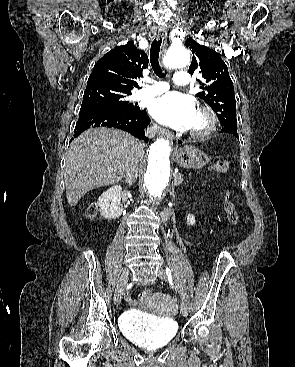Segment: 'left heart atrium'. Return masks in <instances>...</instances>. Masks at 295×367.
<instances>
[{"label": "left heart atrium", "mask_w": 295, "mask_h": 367, "mask_svg": "<svg viewBox=\"0 0 295 367\" xmlns=\"http://www.w3.org/2000/svg\"><path fill=\"white\" fill-rule=\"evenodd\" d=\"M149 113L163 125L187 130L197 112L191 97L179 92H168L150 102Z\"/></svg>", "instance_id": "1"}]
</instances>
